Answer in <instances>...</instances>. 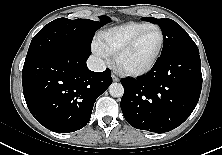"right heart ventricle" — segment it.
I'll list each match as a JSON object with an SVG mask.
<instances>
[{
  "instance_id": "obj_1",
  "label": "right heart ventricle",
  "mask_w": 222,
  "mask_h": 155,
  "mask_svg": "<svg viewBox=\"0 0 222 155\" xmlns=\"http://www.w3.org/2000/svg\"><path fill=\"white\" fill-rule=\"evenodd\" d=\"M149 22H126L99 33L97 42L108 54H115L140 31L152 26Z\"/></svg>"
}]
</instances>
